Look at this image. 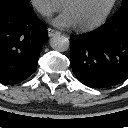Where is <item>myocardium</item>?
<instances>
[{"label": "myocardium", "instance_id": "1", "mask_svg": "<svg viewBox=\"0 0 128 128\" xmlns=\"http://www.w3.org/2000/svg\"><path fill=\"white\" fill-rule=\"evenodd\" d=\"M73 1L74 0H64L63 1V8L65 9L66 6ZM116 3H117V0H111L109 5L104 10V12L100 15L99 18H97L95 21L88 23V24H85V25H77V28L81 31H90V30L98 28L99 26H101L106 21V19L108 18V16L110 15V13L114 9V7L116 6Z\"/></svg>", "mask_w": 128, "mask_h": 128}]
</instances>
